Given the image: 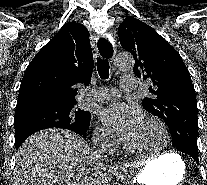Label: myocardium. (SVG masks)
Returning a JSON list of instances; mask_svg holds the SVG:
<instances>
[{
  "instance_id": "1",
  "label": "myocardium",
  "mask_w": 207,
  "mask_h": 185,
  "mask_svg": "<svg viewBox=\"0 0 207 185\" xmlns=\"http://www.w3.org/2000/svg\"><path fill=\"white\" fill-rule=\"evenodd\" d=\"M143 120L155 123L160 128V130L162 132V135H163L164 140H165V145L169 143V141H170L169 130H168L166 124L160 118L155 117V116H146V117H144ZM122 142H123V147H124L125 151L130 155H134V156H137V157L151 158V157L160 156L162 154L161 150H159V151H147V152L146 151L134 150L130 147L126 137L123 138Z\"/></svg>"
}]
</instances>
